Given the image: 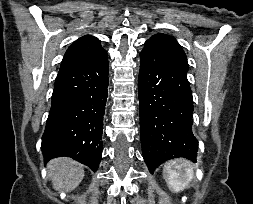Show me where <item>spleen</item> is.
I'll return each instance as SVG.
<instances>
[{"mask_svg":"<svg viewBox=\"0 0 253 204\" xmlns=\"http://www.w3.org/2000/svg\"><path fill=\"white\" fill-rule=\"evenodd\" d=\"M163 177L171 191L179 192L194 178V167L186 159H173L165 163Z\"/></svg>","mask_w":253,"mask_h":204,"instance_id":"3e777b00","label":"spleen"}]
</instances>
